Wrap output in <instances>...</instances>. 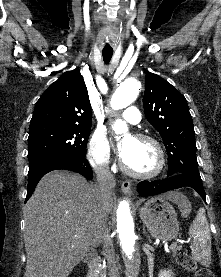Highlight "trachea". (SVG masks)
<instances>
[{
  "instance_id": "obj_1",
  "label": "trachea",
  "mask_w": 221,
  "mask_h": 277,
  "mask_svg": "<svg viewBox=\"0 0 221 277\" xmlns=\"http://www.w3.org/2000/svg\"><path fill=\"white\" fill-rule=\"evenodd\" d=\"M102 55H103V60L105 62V64H108L112 58L113 55V51H102Z\"/></svg>"
}]
</instances>
